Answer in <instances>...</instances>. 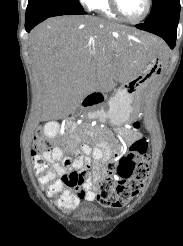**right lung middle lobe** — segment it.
Segmentation results:
<instances>
[{"label": "right lung middle lobe", "instance_id": "dd1d6c3e", "mask_svg": "<svg viewBox=\"0 0 183 246\" xmlns=\"http://www.w3.org/2000/svg\"><path fill=\"white\" fill-rule=\"evenodd\" d=\"M73 8L83 9L78 0H29L26 18H39L56 11Z\"/></svg>", "mask_w": 183, "mask_h": 246}]
</instances>
